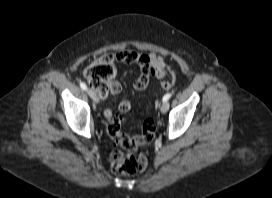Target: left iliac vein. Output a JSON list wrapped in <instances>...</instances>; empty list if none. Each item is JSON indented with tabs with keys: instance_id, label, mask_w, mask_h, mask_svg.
Instances as JSON below:
<instances>
[{
	"instance_id": "left-iliac-vein-1",
	"label": "left iliac vein",
	"mask_w": 272,
	"mask_h": 198,
	"mask_svg": "<svg viewBox=\"0 0 272 198\" xmlns=\"http://www.w3.org/2000/svg\"><path fill=\"white\" fill-rule=\"evenodd\" d=\"M169 109V102H163L161 105H160V111L161 113H166Z\"/></svg>"
}]
</instances>
